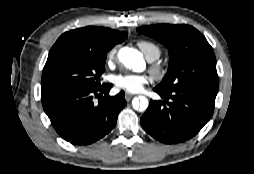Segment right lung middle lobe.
Listing matches in <instances>:
<instances>
[{"label": "right lung middle lobe", "mask_w": 254, "mask_h": 174, "mask_svg": "<svg viewBox=\"0 0 254 174\" xmlns=\"http://www.w3.org/2000/svg\"><path fill=\"white\" fill-rule=\"evenodd\" d=\"M105 61L106 53H97L76 43L54 44L43 69L41 96L98 88Z\"/></svg>", "instance_id": "right-lung-middle-lobe-1"}]
</instances>
